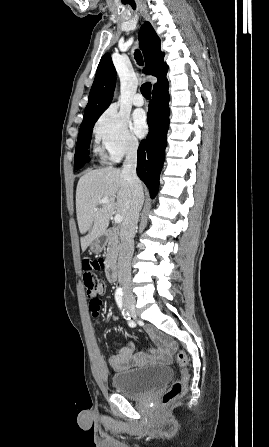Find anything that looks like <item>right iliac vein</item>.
Listing matches in <instances>:
<instances>
[{
	"label": "right iliac vein",
	"instance_id": "obj_1",
	"mask_svg": "<svg viewBox=\"0 0 269 447\" xmlns=\"http://www.w3.org/2000/svg\"><path fill=\"white\" fill-rule=\"evenodd\" d=\"M124 308L130 313V315L135 318L136 312H135V299H132L130 301H124L123 303Z\"/></svg>",
	"mask_w": 269,
	"mask_h": 447
}]
</instances>
